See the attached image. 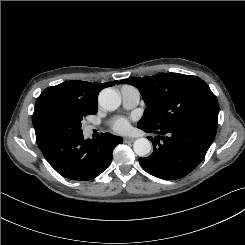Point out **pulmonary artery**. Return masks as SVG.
I'll use <instances>...</instances> for the list:
<instances>
[{
	"label": "pulmonary artery",
	"instance_id": "obj_1",
	"mask_svg": "<svg viewBox=\"0 0 245 245\" xmlns=\"http://www.w3.org/2000/svg\"><path fill=\"white\" fill-rule=\"evenodd\" d=\"M122 104L124 108L131 109L137 106L140 101V91L130 85H124L121 88ZM93 127L90 126L88 129L91 130Z\"/></svg>",
	"mask_w": 245,
	"mask_h": 245
}]
</instances>
